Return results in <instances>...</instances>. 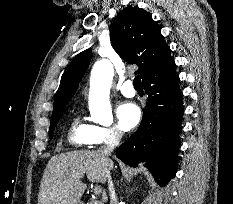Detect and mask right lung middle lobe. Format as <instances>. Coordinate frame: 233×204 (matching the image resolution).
I'll return each instance as SVG.
<instances>
[{"mask_svg": "<svg viewBox=\"0 0 233 204\" xmlns=\"http://www.w3.org/2000/svg\"><path fill=\"white\" fill-rule=\"evenodd\" d=\"M61 115L62 114H60L59 116L54 117V118L51 119V125H50V130H49V137H50V139H52V137H53L54 128L57 125L58 120L60 119Z\"/></svg>", "mask_w": 233, "mask_h": 204, "instance_id": "obj_1", "label": "right lung middle lobe"}]
</instances>
